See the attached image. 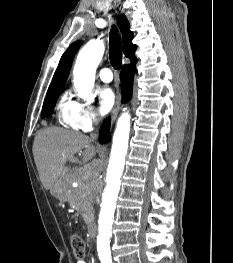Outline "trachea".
Segmentation results:
<instances>
[{
	"label": "trachea",
	"mask_w": 233,
	"mask_h": 263,
	"mask_svg": "<svg viewBox=\"0 0 233 263\" xmlns=\"http://www.w3.org/2000/svg\"><path fill=\"white\" fill-rule=\"evenodd\" d=\"M109 59L115 69H120L122 65V43L115 26L109 35Z\"/></svg>",
	"instance_id": "3493384b"
}]
</instances>
